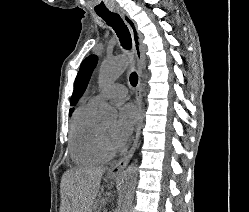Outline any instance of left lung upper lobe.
Instances as JSON below:
<instances>
[{
	"label": "left lung upper lobe",
	"mask_w": 249,
	"mask_h": 212,
	"mask_svg": "<svg viewBox=\"0 0 249 212\" xmlns=\"http://www.w3.org/2000/svg\"><path fill=\"white\" fill-rule=\"evenodd\" d=\"M97 60L98 58L96 55H91L82 62L80 70L75 80L74 91L70 101L72 105H75L78 99L84 93L86 86L89 82V79L91 77V74L97 64ZM72 112L73 109H70V115Z\"/></svg>",
	"instance_id": "obj_1"
}]
</instances>
